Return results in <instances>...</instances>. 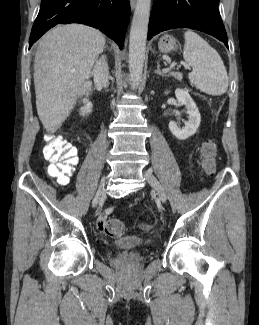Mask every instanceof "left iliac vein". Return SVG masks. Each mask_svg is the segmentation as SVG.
Here are the masks:
<instances>
[{
    "label": "left iliac vein",
    "instance_id": "obj_1",
    "mask_svg": "<svg viewBox=\"0 0 259 325\" xmlns=\"http://www.w3.org/2000/svg\"><path fill=\"white\" fill-rule=\"evenodd\" d=\"M144 176L148 183L151 185V187L156 191L159 199L165 203L167 200L166 192L161 185V183L158 181V179L153 175V173L150 170H146L144 172Z\"/></svg>",
    "mask_w": 259,
    "mask_h": 325
}]
</instances>
